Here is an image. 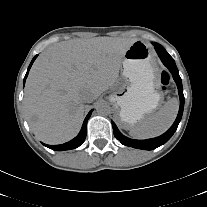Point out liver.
<instances>
[{"label":"liver","mask_w":207,"mask_h":207,"mask_svg":"<svg viewBox=\"0 0 207 207\" xmlns=\"http://www.w3.org/2000/svg\"><path fill=\"white\" fill-rule=\"evenodd\" d=\"M136 39L94 37L49 46L26 81L24 110L30 129L48 144L74 138L84 117L82 92L93 100L117 82L125 52Z\"/></svg>","instance_id":"liver-1"}]
</instances>
